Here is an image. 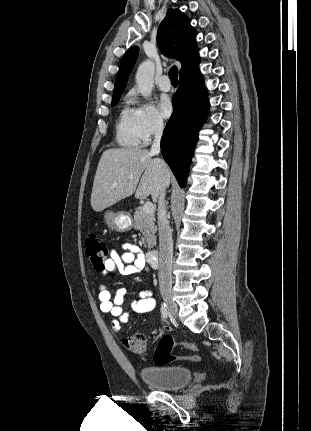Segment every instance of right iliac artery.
Masks as SVG:
<instances>
[{"instance_id":"1","label":"right iliac artery","mask_w":311,"mask_h":431,"mask_svg":"<svg viewBox=\"0 0 311 431\" xmlns=\"http://www.w3.org/2000/svg\"><path fill=\"white\" fill-rule=\"evenodd\" d=\"M161 314L163 319H167L170 314L169 309L165 303H162L161 305Z\"/></svg>"}]
</instances>
